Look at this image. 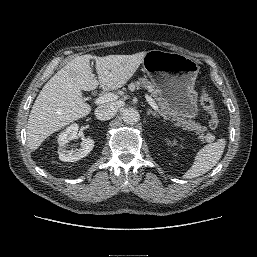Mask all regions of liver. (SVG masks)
I'll return each instance as SVG.
<instances>
[{
	"label": "liver",
	"mask_w": 257,
	"mask_h": 257,
	"mask_svg": "<svg viewBox=\"0 0 257 257\" xmlns=\"http://www.w3.org/2000/svg\"><path fill=\"white\" fill-rule=\"evenodd\" d=\"M145 55L146 52L104 57L82 55L61 68L44 85L32 106L27 124L29 149L37 150L51 134L91 112L83 100L82 90L92 91L98 85L105 91L123 87ZM91 59L95 60L99 80L92 73Z\"/></svg>",
	"instance_id": "obj_1"
}]
</instances>
